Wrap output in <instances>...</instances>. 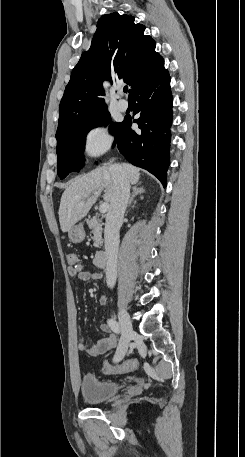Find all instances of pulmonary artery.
<instances>
[{"mask_svg": "<svg viewBox=\"0 0 245 457\" xmlns=\"http://www.w3.org/2000/svg\"><path fill=\"white\" fill-rule=\"evenodd\" d=\"M128 102L125 100V99H120L118 102H117V108L120 110V111H126L128 109Z\"/></svg>", "mask_w": 245, "mask_h": 457, "instance_id": "e3ab8cb5", "label": "pulmonary artery"}]
</instances>
